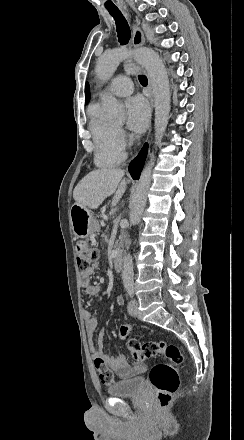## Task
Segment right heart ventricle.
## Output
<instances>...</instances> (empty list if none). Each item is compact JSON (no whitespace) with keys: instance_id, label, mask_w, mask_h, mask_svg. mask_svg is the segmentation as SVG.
I'll return each instance as SVG.
<instances>
[{"instance_id":"e07e8e85","label":"right heart ventricle","mask_w":244,"mask_h":440,"mask_svg":"<svg viewBox=\"0 0 244 440\" xmlns=\"http://www.w3.org/2000/svg\"><path fill=\"white\" fill-rule=\"evenodd\" d=\"M89 119V133L94 140L95 163L100 168H112L118 166L124 160L122 148L111 149L108 147L110 138L114 135V129L104 123L101 118V106L99 102H92L87 109Z\"/></svg>"}]
</instances>
